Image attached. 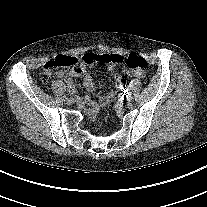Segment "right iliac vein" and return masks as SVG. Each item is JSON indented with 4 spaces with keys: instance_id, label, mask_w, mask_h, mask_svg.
Masks as SVG:
<instances>
[{
    "instance_id": "63e3f726",
    "label": "right iliac vein",
    "mask_w": 207,
    "mask_h": 207,
    "mask_svg": "<svg viewBox=\"0 0 207 207\" xmlns=\"http://www.w3.org/2000/svg\"><path fill=\"white\" fill-rule=\"evenodd\" d=\"M66 103H67L68 105H72V104L74 103V98H68V99L66 100Z\"/></svg>"
}]
</instances>
